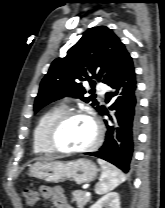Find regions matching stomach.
<instances>
[{"label":"stomach","mask_w":165,"mask_h":208,"mask_svg":"<svg viewBox=\"0 0 165 208\" xmlns=\"http://www.w3.org/2000/svg\"><path fill=\"white\" fill-rule=\"evenodd\" d=\"M29 175L51 183L68 179L78 184H84L96 179L97 167L88 159L43 161L34 163L30 167Z\"/></svg>","instance_id":"obj_1"}]
</instances>
